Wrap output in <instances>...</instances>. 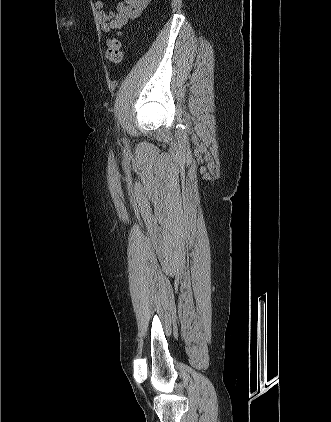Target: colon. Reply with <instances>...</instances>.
<instances>
[{
  "label": "colon",
  "mask_w": 331,
  "mask_h": 422,
  "mask_svg": "<svg viewBox=\"0 0 331 422\" xmlns=\"http://www.w3.org/2000/svg\"><path fill=\"white\" fill-rule=\"evenodd\" d=\"M106 58L114 64L122 60V43L118 37L111 35L106 42Z\"/></svg>",
  "instance_id": "colon-1"
}]
</instances>
